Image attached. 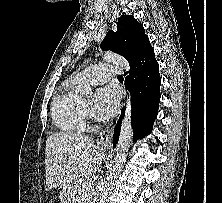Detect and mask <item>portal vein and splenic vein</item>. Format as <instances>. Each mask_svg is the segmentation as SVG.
Returning <instances> with one entry per match:
<instances>
[{
	"label": "portal vein and splenic vein",
	"instance_id": "18ae733b",
	"mask_svg": "<svg viewBox=\"0 0 222 203\" xmlns=\"http://www.w3.org/2000/svg\"><path fill=\"white\" fill-rule=\"evenodd\" d=\"M83 187L86 191H89L92 187L91 186V181H86Z\"/></svg>",
	"mask_w": 222,
	"mask_h": 203
}]
</instances>
